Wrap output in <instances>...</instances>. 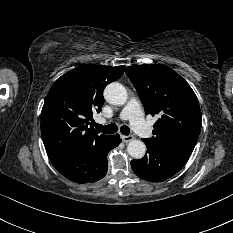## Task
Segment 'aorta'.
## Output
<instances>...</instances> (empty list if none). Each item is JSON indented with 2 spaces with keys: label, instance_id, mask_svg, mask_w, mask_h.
Instances as JSON below:
<instances>
[{
  "label": "aorta",
  "instance_id": "762f6f07",
  "mask_svg": "<svg viewBox=\"0 0 233 233\" xmlns=\"http://www.w3.org/2000/svg\"><path fill=\"white\" fill-rule=\"evenodd\" d=\"M107 102L114 105H123L128 99L125 87L117 82L108 84L104 90ZM129 155L135 159H141L146 152V146L141 140H132L127 145Z\"/></svg>",
  "mask_w": 233,
  "mask_h": 233
}]
</instances>
